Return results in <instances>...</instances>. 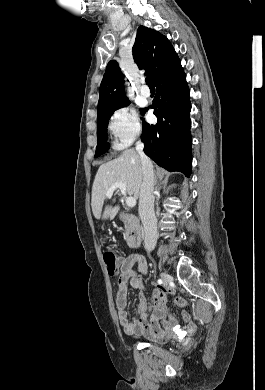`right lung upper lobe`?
Segmentation results:
<instances>
[{
    "instance_id": "1",
    "label": "right lung upper lobe",
    "mask_w": 265,
    "mask_h": 390,
    "mask_svg": "<svg viewBox=\"0 0 265 390\" xmlns=\"http://www.w3.org/2000/svg\"><path fill=\"white\" fill-rule=\"evenodd\" d=\"M133 58L140 69H145L155 82L179 62V58L168 41L159 32L140 26L137 30ZM123 74L115 60L107 64L103 76L98 102V116L128 101L124 96Z\"/></svg>"
}]
</instances>
